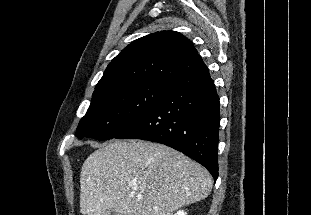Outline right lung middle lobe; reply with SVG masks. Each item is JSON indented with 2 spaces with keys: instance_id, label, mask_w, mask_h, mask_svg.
I'll return each mask as SVG.
<instances>
[{
  "instance_id": "dd1d6c3e",
  "label": "right lung middle lobe",
  "mask_w": 311,
  "mask_h": 215,
  "mask_svg": "<svg viewBox=\"0 0 311 215\" xmlns=\"http://www.w3.org/2000/svg\"><path fill=\"white\" fill-rule=\"evenodd\" d=\"M169 84H125L93 93L76 130L79 139H112L143 118L162 98Z\"/></svg>"
}]
</instances>
